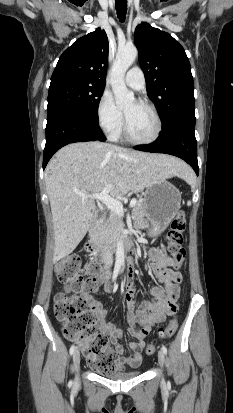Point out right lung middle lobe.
Instances as JSON below:
<instances>
[{"label":"right lung middle lobe","mask_w":233,"mask_h":413,"mask_svg":"<svg viewBox=\"0 0 233 413\" xmlns=\"http://www.w3.org/2000/svg\"><path fill=\"white\" fill-rule=\"evenodd\" d=\"M104 85L79 80H60L50 83L47 113L69 110L98 122L97 109Z\"/></svg>","instance_id":"dd1d6c3e"}]
</instances>
